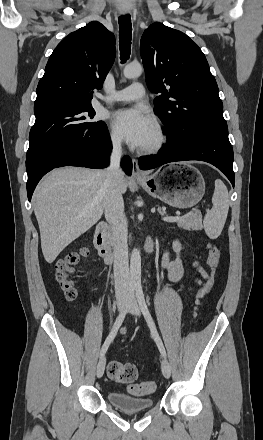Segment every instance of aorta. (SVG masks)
I'll return each instance as SVG.
<instances>
[{"label": "aorta", "mask_w": 263, "mask_h": 440, "mask_svg": "<svg viewBox=\"0 0 263 440\" xmlns=\"http://www.w3.org/2000/svg\"><path fill=\"white\" fill-rule=\"evenodd\" d=\"M143 68L139 63L126 65L123 74L127 79L137 78L142 74ZM130 284L134 287H141V255L137 248H134L130 258Z\"/></svg>", "instance_id": "obj_1"}]
</instances>
